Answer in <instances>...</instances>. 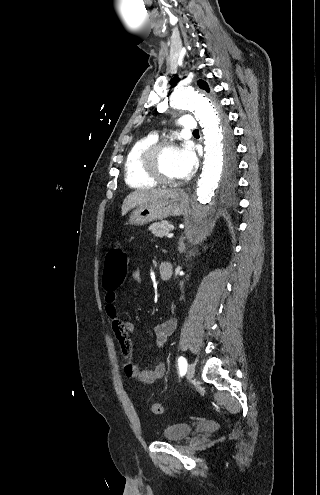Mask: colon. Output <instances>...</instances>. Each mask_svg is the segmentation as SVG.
<instances>
[{
    "instance_id": "1",
    "label": "colon",
    "mask_w": 320,
    "mask_h": 495,
    "mask_svg": "<svg viewBox=\"0 0 320 495\" xmlns=\"http://www.w3.org/2000/svg\"><path fill=\"white\" fill-rule=\"evenodd\" d=\"M128 256L120 246L112 247L106 254L103 267V282L106 289H114L121 285L126 276ZM151 411L155 415L163 413V406L159 402L151 404Z\"/></svg>"
}]
</instances>
